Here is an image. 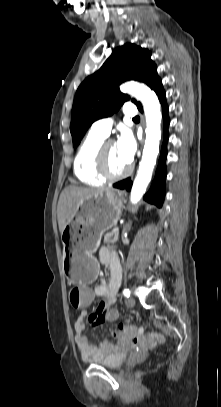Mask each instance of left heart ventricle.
I'll return each mask as SVG.
<instances>
[{"label":"left heart ventricle","mask_w":221,"mask_h":407,"mask_svg":"<svg viewBox=\"0 0 221 407\" xmlns=\"http://www.w3.org/2000/svg\"><path fill=\"white\" fill-rule=\"evenodd\" d=\"M129 162H127L119 153L116 143L111 144L107 149V165L111 173L117 174L124 171Z\"/></svg>","instance_id":"obj_1"}]
</instances>
